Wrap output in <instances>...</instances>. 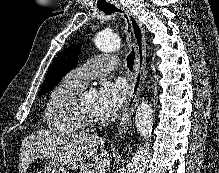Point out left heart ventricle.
Instances as JSON below:
<instances>
[{
	"instance_id": "obj_1",
	"label": "left heart ventricle",
	"mask_w": 219,
	"mask_h": 173,
	"mask_svg": "<svg viewBox=\"0 0 219 173\" xmlns=\"http://www.w3.org/2000/svg\"><path fill=\"white\" fill-rule=\"evenodd\" d=\"M82 107L89 117L99 120L96 112V95L94 93H84L82 97Z\"/></svg>"
}]
</instances>
